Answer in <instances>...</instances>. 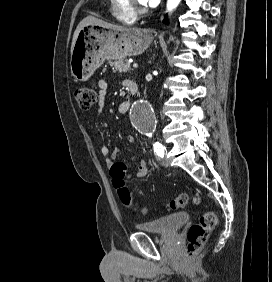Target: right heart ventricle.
Listing matches in <instances>:
<instances>
[{
  "label": "right heart ventricle",
  "mask_w": 272,
  "mask_h": 282,
  "mask_svg": "<svg viewBox=\"0 0 272 282\" xmlns=\"http://www.w3.org/2000/svg\"><path fill=\"white\" fill-rule=\"evenodd\" d=\"M113 4V13L116 19L124 24H132L136 16L127 8V0H111Z\"/></svg>",
  "instance_id": "1"
}]
</instances>
